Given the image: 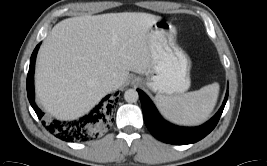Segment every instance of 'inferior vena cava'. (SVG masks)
Instances as JSON below:
<instances>
[{"instance_id":"1","label":"inferior vena cava","mask_w":267,"mask_h":166,"mask_svg":"<svg viewBox=\"0 0 267 166\" xmlns=\"http://www.w3.org/2000/svg\"><path fill=\"white\" fill-rule=\"evenodd\" d=\"M119 86H120V83L117 79H111L105 82L104 84L105 89L108 91L116 90L117 88H119Z\"/></svg>"}]
</instances>
